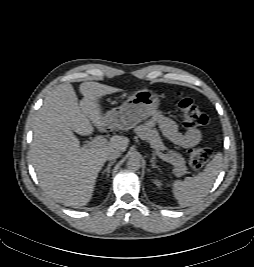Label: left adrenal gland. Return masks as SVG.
I'll list each match as a JSON object with an SVG mask.
<instances>
[{"mask_svg":"<svg viewBox=\"0 0 254 267\" xmlns=\"http://www.w3.org/2000/svg\"><path fill=\"white\" fill-rule=\"evenodd\" d=\"M150 162H151V166H152V168H157V169H159L158 166L156 165V163H155V161H154L153 159H150Z\"/></svg>","mask_w":254,"mask_h":267,"instance_id":"a2214340","label":"left adrenal gland"}]
</instances>
